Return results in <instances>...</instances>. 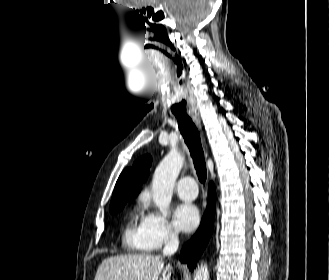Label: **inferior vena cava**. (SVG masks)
<instances>
[{"label": "inferior vena cava", "mask_w": 329, "mask_h": 280, "mask_svg": "<svg viewBox=\"0 0 329 280\" xmlns=\"http://www.w3.org/2000/svg\"><path fill=\"white\" fill-rule=\"evenodd\" d=\"M179 246V239H178V233L171 231L169 233V238L167 241H165V246L163 249V256H171L173 255Z\"/></svg>", "instance_id": "602c4592"}]
</instances>
